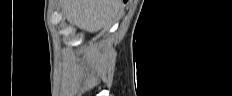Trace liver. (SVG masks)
Instances as JSON below:
<instances>
[{
    "label": "liver",
    "mask_w": 232,
    "mask_h": 96,
    "mask_svg": "<svg viewBox=\"0 0 232 96\" xmlns=\"http://www.w3.org/2000/svg\"><path fill=\"white\" fill-rule=\"evenodd\" d=\"M62 3L67 20L91 33L113 23L123 10L122 0H63Z\"/></svg>",
    "instance_id": "obj_1"
}]
</instances>
